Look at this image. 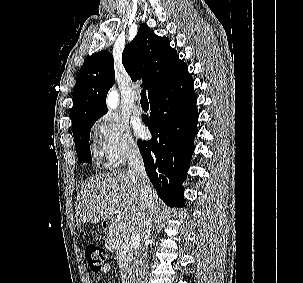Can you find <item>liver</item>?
I'll return each mask as SVG.
<instances>
[{
    "instance_id": "6515ba94",
    "label": "liver",
    "mask_w": 303,
    "mask_h": 283,
    "mask_svg": "<svg viewBox=\"0 0 303 283\" xmlns=\"http://www.w3.org/2000/svg\"><path fill=\"white\" fill-rule=\"evenodd\" d=\"M139 184L133 181L128 170H115L90 178L77 196V225L110 220L120 210L124 222L129 226L137 224L141 217ZM151 195L154 198L152 189Z\"/></svg>"
}]
</instances>
